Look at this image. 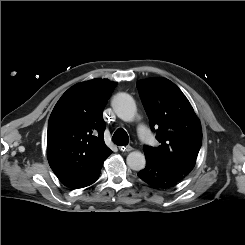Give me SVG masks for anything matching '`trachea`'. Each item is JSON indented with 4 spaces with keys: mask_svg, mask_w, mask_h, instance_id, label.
<instances>
[{
    "mask_svg": "<svg viewBox=\"0 0 245 245\" xmlns=\"http://www.w3.org/2000/svg\"><path fill=\"white\" fill-rule=\"evenodd\" d=\"M128 140H129L128 134L122 128H118L112 137V141L118 146L127 145Z\"/></svg>",
    "mask_w": 245,
    "mask_h": 245,
    "instance_id": "trachea-1",
    "label": "trachea"
}]
</instances>
